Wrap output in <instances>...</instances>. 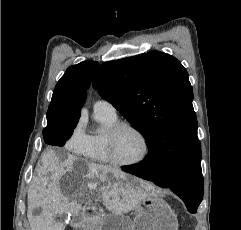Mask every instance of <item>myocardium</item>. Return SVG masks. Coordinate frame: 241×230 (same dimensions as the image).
<instances>
[{
	"label": "myocardium",
	"mask_w": 241,
	"mask_h": 230,
	"mask_svg": "<svg viewBox=\"0 0 241 230\" xmlns=\"http://www.w3.org/2000/svg\"><path fill=\"white\" fill-rule=\"evenodd\" d=\"M124 128L133 130L141 138L144 145V150L142 155L138 159L133 161L119 160L115 154L116 136ZM105 147H106V152L110 162L113 163L114 165L121 166V167L135 166L142 163L147 158L150 152L149 141L147 139V136L144 134V132L136 125L126 121H117L111 127L108 128L105 135Z\"/></svg>",
	"instance_id": "1"
}]
</instances>
